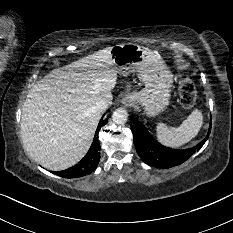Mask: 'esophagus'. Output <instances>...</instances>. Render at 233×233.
I'll list each match as a JSON object with an SVG mask.
<instances>
[{"label":"esophagus","mask_w":233,"mask_h":233,"mask_svg":"<svg viewBox=\"0 0 233 233\" xmlns=\"http://www.w3.org/2000/svg\"><path fill=\"white\" fill-rule=\"evenodd\" d=\"M124 104L126 106H131L132 104L130 103V101H128L127 99H124Z\"/></svg>","instance_id":"1"}]
</instances>
